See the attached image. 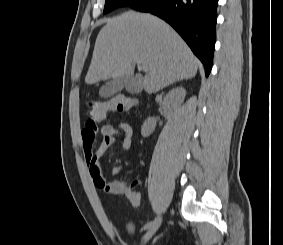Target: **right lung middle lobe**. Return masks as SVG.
I'll use <instances>...</instances> for the list:
<instances>
[{
	"instance_id": "1",
	"label": "right lung middle lobe",
	"mask_w": 283,
	"mask_h": 245,
	"mask_svg": "<svg viewBox=\"0 0 283 245\" xmlns=\"http://www.w3.org/2000/svg\"><path fill=\"white\" fill-rule=\"evenodd\" d=\"M140 0H106L103 13H108L118 7L132 6Z\"/></svg>"
}]
</instances>
